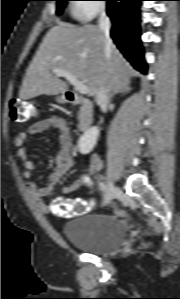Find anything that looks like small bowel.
Returning <instances> with one entry per match:
<instances>
[{"mask_svg":"<svg viewBox=\"0 0 180 299\" xmlns=\"http://www.w3.org/2000/svg\"><path fill=\"white\" fill-rule=\"evenodd\" d=\"M49 129H54L58 132L60 150L55 157V169L49 176L48 183L43 187H39L32 179V171H34L37 166L29 159L28 153L23 145L28 136L37 135ZM14 144L17 147L15 152L16 156L22 161L25 168L23 176L28 196L37 204L40 211L44 213L52 211V207L44 203L43 198L50 194L53 187L62 180L64 175L75 163L69 121L58 115H50L31 124L26 131L19 133L14 139ZM90 168L92 172H98L101 169V162L94 158L91 161ZM82 184L83 180L81 178H75L63 187L62 192L66 195L71 194L80 188Z\"/></svg>","mask_w":180,"mask_h":299,"instance_id":"obj_1","label":"small bowel"}]
</instances>
